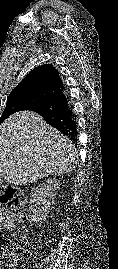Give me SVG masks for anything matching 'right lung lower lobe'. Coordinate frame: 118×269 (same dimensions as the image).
<instances>
[{
    "mask_svg": "<svg viewBox=\"0 0 118 269\" xmlns=\"http://www.w3.org/2000/svg\"><path fill=\"white\" fill-rule=\"evenodd\" d=\"M25 110L38 113L49 125L61 131L74 142L77 141L75 115L64 90L28 106Z\"/></svg>",
    "mask_w": 118,
    "mask_h": 269,
    "instance_id": "right-lung-lower-lobe-1",
    "label": "right lung lower lobe"
}]
</instances>
